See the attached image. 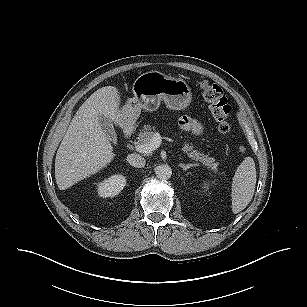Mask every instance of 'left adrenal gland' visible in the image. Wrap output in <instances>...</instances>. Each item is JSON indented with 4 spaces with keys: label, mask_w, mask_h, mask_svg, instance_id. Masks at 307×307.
I'll return each mask as SVG.
<instances>
[{
    "label": "left adrenal gland",
    "mask_w": 307,
    "mask_h": 307,
    "mask_svg": "<svg viewBox=\"0 0 307 307\" xmlns=\"http://www.w3.org/2000/svg\"><path fill=\"white\" fill-rule=\"evenodd\" d=\"M179 166H180L184 171H187L189 168H191V167H193V166H196V164H192V163H191V164L185 165V164L180 163Z\"/></svg>",
    "instance_id": "left-adrenal-gland-1"
}]
</instances>
